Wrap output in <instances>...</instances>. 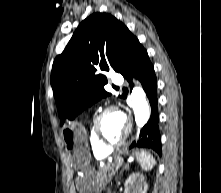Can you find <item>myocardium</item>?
I'll return each mask as SVG.
<instances>
[{"label":"myocardium","mask_w":221,"mask_h":193,"mask_svg":"<svg viewBox=\"0 0 221 193\" xmlns=\"http://www.w3.org/2000/svg\"><path fill=\"white\" fill-rule=\"evenodd\" d=\"M112 111H118V110L114 106L105 107L104 109H102L99 112V114L95 117L94 122H93V134H94L95 139L97 140V142L101 146H103L104 148H106L108 150L121 146L126 141L128 135L130 133V130H131L130 123L128 121H126V130L120 139H118L115 142H110V141L106 140L101 133L100 124H101L103 117L107 113L112 112Z\"/></svg>","instance_id":"myocardium-1"}]
</instances>
